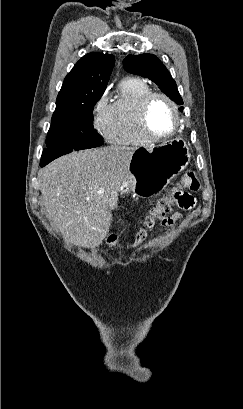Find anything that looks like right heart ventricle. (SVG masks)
Returning a JSON list of instances; mask_svg holds the SVG:
<instances>
[{
	"label": "right heart ventricle",
	"instance_id": "e07e8e85",
	"mask_svg": "<svg viewBox=\"0 0 243 409\" xmlns=\"http://www.w3.org/2000/svg\"><path fill=\"white\" fill-rule=\"evenodd\" d=\"M151 92L150 86L138 78H124L117 95L110 105L108 140L119 145L141 146L151 143L144 134L139 121L142 99Z\"/></svg>",
	"mask_w": 243,
	"mask_h": 409
}]
</instances>
